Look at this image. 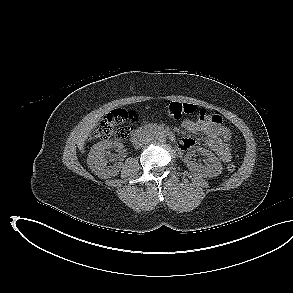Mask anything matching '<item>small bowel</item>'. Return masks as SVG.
Returning <instances> with one entry per match:
<instances>
[{
  "label": "small bowel",
  "mask_w": 293,
  "mask_h": 293,
  "mask_svg": "<svg viewBox=\"0 0 293 293\" xmlns=\"http://www.w3.org/2000/svg\"><path fill=\"white\" fill-rule=\"evenodd\" d=\"M182 127L189 132L202 135L206 144L222 162L230 161V132L224 126L202 119L197 122L186 119L182 122ZM194 144V139L183 138L179 141L178 147L181 150H187L194 146Z\"/></svg>",
  "instance_id": "1"
}]
</instances>
